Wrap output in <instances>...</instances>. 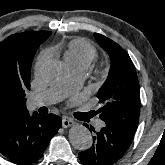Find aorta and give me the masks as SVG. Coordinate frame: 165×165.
Listing matches in <instances>:
<instances>
[{"mask_svg":"<svg viewBox=\"0 0 165 165\" xmlns=\"http://www.w3.org/2000/svg\"><path fill=\"white\" fill-rule=\"evenodd\" d=\"M41 77L48 83H58L63 78V65L56 60H48L40 67ZM69 140L77 150H87L92 145L90 131L82 124H75L69 129Z\"/></svg>","mask_w":165,"mask_h":165,"instance_id":"1","label":"aorta"}]
</instances>
